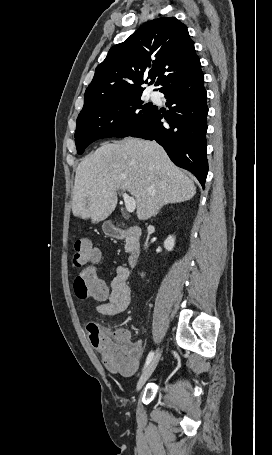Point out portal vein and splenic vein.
<instances>
[{
    "instance_id": "18ae733b",
    "label": "portal vein and splenic vein",
    "mask_w": 272,
    "mask_h": 455,
    "mask_svg": "<svg viewBox=\"0 0 272 455\" xmlns=\"http://www.w3.org/2000/svg\"><path fill=\"white\" fill-rule=\"evenodd\" d=\"M123 200L125 202V208L127 212H134L136 208V200L133 197H130L127 193H123Z\"/></svg>"
}]
</instances>
